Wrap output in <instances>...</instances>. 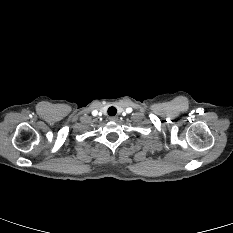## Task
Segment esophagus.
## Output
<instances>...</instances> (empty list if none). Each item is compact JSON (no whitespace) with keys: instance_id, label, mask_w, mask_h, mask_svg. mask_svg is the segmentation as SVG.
Returning <instances> with one entry per match:
<instances>
[{"instance_id":"34e87169","label":"esophagus","mask_w":233,"mask_h":233,"mask_svg":"<svg viewBox=\"0 0 233 233\" xmlns=\"http://www.w3.org/2000/svg\"><path fill=\"white\" fill-rule=\"evenodd\" d=\"M109 120L115 122V121L118 120V117L117 116H111V117H109Z\"/></svg>"}]
</instances>
